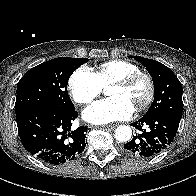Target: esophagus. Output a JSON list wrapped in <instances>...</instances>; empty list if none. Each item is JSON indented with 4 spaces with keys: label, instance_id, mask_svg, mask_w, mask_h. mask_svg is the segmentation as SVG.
<instances>
[{
    "label": "esophagus",
    "instance_id": "1",
    "mask_svg": "<svg viewBox=\"0 0 196 196\" xmlns=\"http://www.w3.org/2000/svg\"><path fill=\"white\" fill-rule=\"evenodd\" d=\"M114 126H116V125L115 124H108V125H104L103 127H105V128H112Z\"/></svg>",
    "mask_w": 196,
    "mask_h": 196
}]
</instances>
